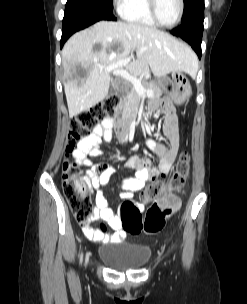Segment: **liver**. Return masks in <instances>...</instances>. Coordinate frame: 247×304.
I'll use <instances>...</instances> for the list:
<instances>
[{"instance_id": "liver-1", "label": "liver", "mask_w": 247, "mask_h": 304, "mask_svg": "<svg viewBox=\"0 0 247 304\" xmlns=\"http://www.w3.org/2000/svg\"><path fill=\"white\" fill-rule=\"evenodd\" d=\"M95 44H100L99 51L93 50ZM134 51L137 58L125 65L134 77L148 73L149 69L156 77L182 71L193 74L197 70L190 48L171 35L138 23L100 21L74 34L62 50L70 118L104 100L111 81L104 67L126 59ZM77 65L87 71L80 86L72 79Z\"/></svg>"}]
</instances>
